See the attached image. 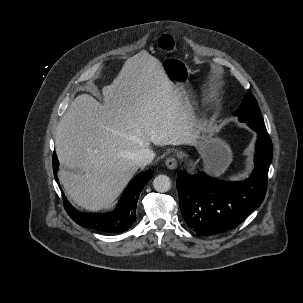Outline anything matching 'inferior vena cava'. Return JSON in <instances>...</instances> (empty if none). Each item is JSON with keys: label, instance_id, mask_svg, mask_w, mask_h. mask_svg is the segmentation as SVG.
<instances>
[{"label": "inferior vena cava", "instance_id": "inferior-vena-cava-1", "mask_svg": "<svg viewBox=\"0 0 303 303\" xmlns=\"http://www.w3.org/2000/svg\"><path fill=\"white\" fill-rule=\"evenodd\" d=\"M155 154L149 148H143L134 154V161L138 167H145L154 159Z\"/></svg>", "mask_w": 303, "mask_h": 303}]
</instances>
